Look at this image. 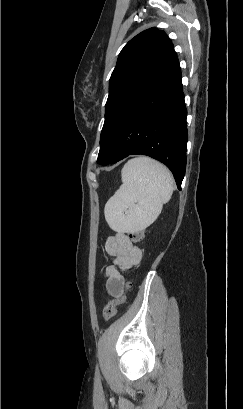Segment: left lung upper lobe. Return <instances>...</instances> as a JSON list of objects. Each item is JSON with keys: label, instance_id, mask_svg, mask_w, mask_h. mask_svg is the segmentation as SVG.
<instances>
[{"label": "left lung upper lobe", "instance_id": "left-lung-upper-lobe-1", "mask_svg": "<svg viewBox=\"0 0 243 409\" xmlns=\"http://www.w3.org/2000/svg\"><path fill=\"white\" fill-rule=\"evenodd\" d=\"M174 52L173 44L165 32L155 27L139 33L124 46L109 81L98 163L109 164L113 159L123 118L151 78Z\"/></svg>", "mask_w": 243, "mask_h": 409}]
</instances>
